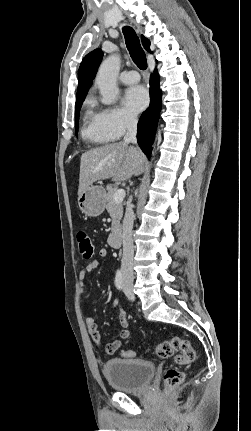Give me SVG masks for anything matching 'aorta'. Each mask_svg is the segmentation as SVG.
Here are the masks:
<instances>
[{
	"label": "aorta",
	"instance_id": "obj_1",
	"mask_svg": "<svg viewBox=\"0 0 251 431\" xmlns=\"http://www.w3.org/2000/svg\"><path fill=\"white\" fill-rule=\"evenodd\" d=\"M120 58L118 55H110L101 64L96 77V84L102 95V103L112 104L119 89L116 83L120 70Z\"/></svg>",
	"mask_w": 251,
	"mask_h": 431
}]
</instances>
